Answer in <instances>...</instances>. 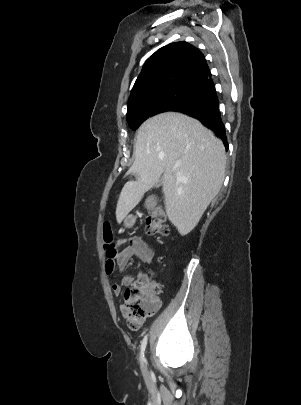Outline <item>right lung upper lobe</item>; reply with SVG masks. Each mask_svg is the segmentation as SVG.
Here are the masks:
<instances>
[{
    "label": "right lung upper lobe",
    "mask_w": 301,
    "mask_h": 405,
    "mask_svg": "<svg viewBox=\"0 0 301 405\" xmlns=\"http://www.w3.org/2000/svg\"><path fill=\"white\" fill-rule=\"evenodd\" d=\"M210 78L204 55L197 48L187 42L168 44L145 62L132 88L128 110L146 96L178 87L193 88L215 96V86Z\"/></svg>",
    "instance_id": "obj_1"
}]
</instances>
